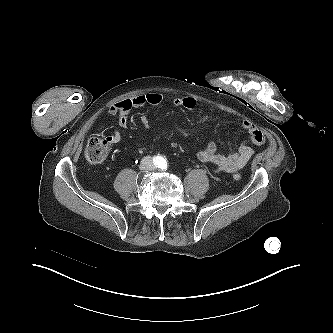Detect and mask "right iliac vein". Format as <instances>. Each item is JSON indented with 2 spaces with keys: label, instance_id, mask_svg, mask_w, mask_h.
<instances>
[{
  "label": "right iliac vein",
  "instance_id": "obj_1",
  "mask_svg": "<svg viewBox=\"0 0 333 333\" xmlns=\"http://www.w3.org/2000/svg\"><path fill=\"white\" fill-rule=\"evenodd\" d=\"M140 169H141V170H145V169H146V165H145V164H141V165H140Z\"/></svg>",
  "mask_w": 333,
  "mask_h": 333
}]
</instances>
